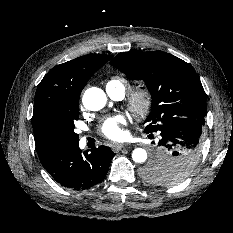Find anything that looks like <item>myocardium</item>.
<instances>
[{"label": "myocardium", "instance_id": "f54148a6", "mask_svg": "<svg viewBox=\"0 0 233 233\" xmlns=\"http://www.w3.org/2000/svg\"><path fill=\"white\" fill-rule=\"evenodd\" d=\"M154 95L148 88H137L132 90L127 97V109L130 114L138 119H146L153 110Z\"/></svg>", "mask_w": 233, "mask_h": 233}]
</instances>
